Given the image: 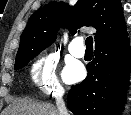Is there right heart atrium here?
I'll return each mask as SVG.
<instances>
[{
  "instance_id": "d8ad5b80",
  "label": "right heart atrium",
  "mask_w": 131,
  "mask_h": 115,
  "mask_svg": "<svg viewBox=\"0 0 131 115\" xmlns=\"http://www.w3.org/2000/svg\"><path fill=\"white\" fill-rule=\"evenodd\" d=\"M55 69L54 57L52 55H43L33 62L30 75L35 85L44 93L58 96L62 93V89L57 80Z\"/></svg>"
}]
</instances>
